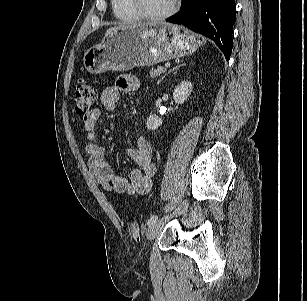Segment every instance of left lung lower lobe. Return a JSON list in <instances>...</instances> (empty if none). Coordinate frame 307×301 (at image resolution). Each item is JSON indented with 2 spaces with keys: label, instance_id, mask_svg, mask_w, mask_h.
<instances>
[{
  "label": "left lung lower lobe",
  "instance_id": "left-lung-lower-lobe-1",
  "mask_svg": "<svg viewBox=\"0 0 307 301\" xmlns=\"http://www.w3.org/2000/svg\"><path fill=\"white\" fill-rule=\"evenodd\" d=\"M235 20V0H182L181 11L167 19L215 41L226 60L230 59L232 53Z\"/></svg>",
  "mask_w": 307,
  "mask_h": 301
}]
</instances>
